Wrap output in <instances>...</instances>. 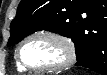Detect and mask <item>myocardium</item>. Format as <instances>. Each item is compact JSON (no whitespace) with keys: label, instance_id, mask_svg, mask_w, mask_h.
Listing matches in <instances>:
<instances>
[{"label":"myocardium","instance_id":"myocardium-1","mask_svg":"<svg viewBox=\"0 0 107 75\" xmlns=\"http://www.w3.org/2000/svg\"><path fill=\"white\" fill-rule=\"evenodd\" d=\"M36 37H46L60 44L65 51V59L60 63L41 67L31 66L28 63H26L22 57L23 47L28 41ZM76 55L77 52L74 41L66 34L53 29H40L30 33L20 42L17 50V58L20 65H22L25 69L36 72L54 71L66 68L75 62Z\"/></svg>","mask_w":107,"mask_h":75}]
</instances>
